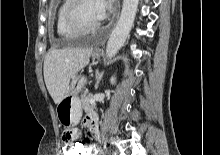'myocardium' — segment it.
Instances as JSON below:
<instances>
[{
  "mask_svg": "<svg viewBox=\"0 0 220 155\" xmlns=\"http://www.w3.org/2000/svg\"><path fill=\"white\" fill-rule=\"evenodd\" d=\"M83 0H69L68 5L64 11V22L71 30L84 34L95 31L101 27V22L88 25L80 20L78 16V9Z\"/></svg>",
  "mask_w": 220,
  "mask_h": 155,
  "instance_id": "myocardium-1",
  "label": "myocardium"
}]
</instances>
